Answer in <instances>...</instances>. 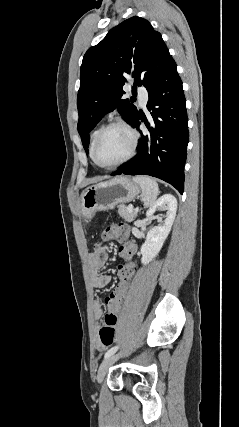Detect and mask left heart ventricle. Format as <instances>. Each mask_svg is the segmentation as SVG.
<instances>
[{
    "mask_svg": "<svg viewBox=\"0 0 239 427\" xmlns=\"http://www.w3.org/2000/svg\"><path fill=\"white\" fill-rule=\"evenodd\" d=\"M131 143V135L125 129L111 128L104 133L97 146V159L105 165L115 164L128 154Z\"/></svg>",
    "mask_w": 239,
    "mask_h": 427,
    "instance_id": "b2bd125f",
    "label": "left heart ventricle"
}]
</instances>
